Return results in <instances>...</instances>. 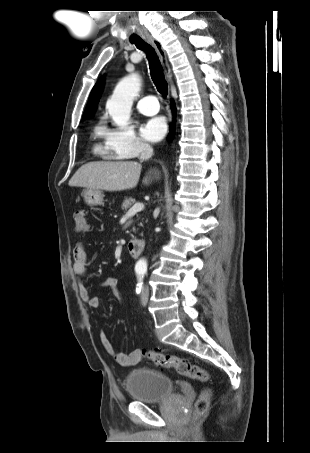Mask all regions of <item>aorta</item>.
<instances>
[{
	"instance_id": "obj_1",
	"label": "aorta",
	"mask_w": 310,
	"mask_h": 453,
	"mask_svg": "<svg viewBox=\"0 0 310 453\" xmlns=\"http://www.w3.org/2000/svg\"><path fill=\"white\" fill-rule=\"evenodd\" d=\"M141 80L137 74L124 77L115 87L111 98L107 101L106 109L113 121L119 125H125L130 119L131 107L134 98L140 91ZM147 263L140 259L136 263L137 269H145Z\"/></svg>"
}]
</instances>
